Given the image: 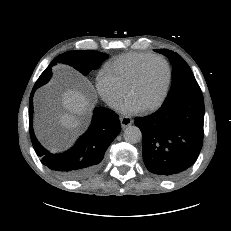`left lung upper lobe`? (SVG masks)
Segmentation results:
<instances>
[{
    "instance_id": "5c2ea615",
    "label": "left lung upper lobe",
    "mask_w": 231,
    "mask_h": 231,
    "mask_svg": "<svg viewBox=\"0 0 231 231\" xmlns=\"http://www.w3.org/2000/svg\"><path fill=\"white\" fill-rule=\"evenodd\" d=\"M155 51L167 56L173 66L172 84L163 106L186 94L201 92L190 67L180 55L167 49H155Z\"/></svg>"
}]
</instances>
